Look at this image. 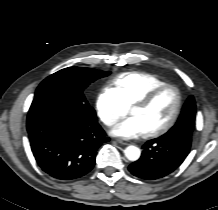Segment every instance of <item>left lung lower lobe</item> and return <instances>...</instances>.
Wrapping results in <instances>:
<instances>
[{
    "mask_svg": "<svg viewBox=\"0 0 218 210\" xmlns=\"http://www.w3.org/2000/svg\"><path fill=\"white\" fill-rule=\"evenodd\" d=\"M176 138L149 140L143 145L139 160L133 162L128 170L136 177L154 180L162 178L177 169L187 157L192 138L181 133Z\"/></svg>",
    "mask_w": 218,
    "mask_h": 210,
    "instance_id": "1",
    "label": "left lung lower lobe"
}]
</instances>
